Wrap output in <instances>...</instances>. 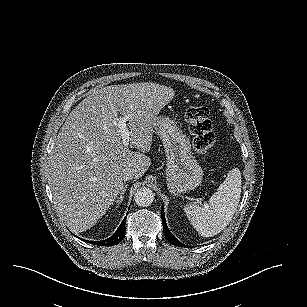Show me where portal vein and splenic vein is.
I'll list each match as a JSON object with an SVG mask.
<instances>
[{
  "mask_svg": "<svg viewBox=\"0 0 307 307\" xmlns=\"http://www.w3.org/2000/svg\"><path fill=\"white\" fill-rule=\"evenodd\" d=\"M128 120H129V117L124 116L122 118H118L116 121H113V123L119 128V131L121 133L122 142L125 147L129 146V139H130V131L128 130L127 124H126Z\"/></svg>",
  "mask_w": 307,
  "mask_h": 307,
  "instance_id": "obj_1",
  "label": "portal vein and splenic vein"
}]
</instances>
